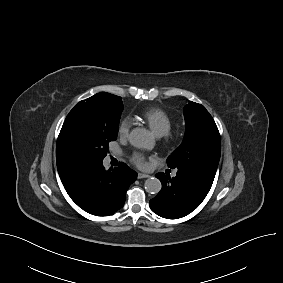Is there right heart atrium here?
Returning <instances> with one entry per match:
<instances>
[{"instance_id":"1","label":"right heart atrium","mask_w":283,"mask_h":283,"mask_svg":"<svg viewBox=\"0 0 283 283\" xmlns=\"http://www.w3.org/2000/svg\"><path fill=\"white\" fill-rule=\"evenodd\" d=\"M131 129V120L129 118H122L118 124V134L121 138H126Z\"/></svg>"}]
</instances>
